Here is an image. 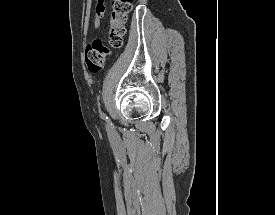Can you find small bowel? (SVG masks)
I'll return each mask as SVG.
<instances>
[{"label": "small bowel", "mask_w": 275, "mask_h": 215, "mask_svg": "<svg viewBox=\"0 0 275 215\" xmlns=\"http://www.w3.org/2000/svg\"><path fill=\"white\" fill-rule=\"evenodd\" d=\"M107 8L106 0H97L96 6L93 11V18H94V28L95 29H103L104 25L100 23V19L104 16L105 11Z\"/></svg>", "instance_id": "small-bowel-1"}]
</instances>
